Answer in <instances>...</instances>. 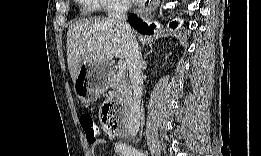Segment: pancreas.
Segmentation results:
<instances>
[{
	"label": "pancreas",
	"mask_w": 261,
	"mask_h": 156,
	"mask_svg": "<svg viewBox=\"0 0 261 156\" xmlns=\"http://www.w3.org/2000/svg\"><path fill=\"white\" fill-rule=\"evenodd\" d=\"M109 78V86L113 89L116 99L120 103L129 105L131 101V92L126 72L119 71L115 73L114 71H110Z\"/></svg>",
	"instance_id": "1"
}]
</instances>
